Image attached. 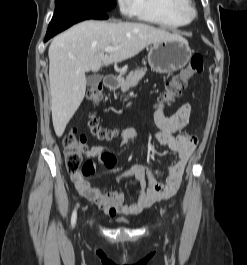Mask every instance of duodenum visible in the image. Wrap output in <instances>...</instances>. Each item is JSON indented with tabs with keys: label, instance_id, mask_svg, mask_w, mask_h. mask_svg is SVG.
Returning <instances> with one entry per match:
<instances>
[{
	"label": "duodenum",
	"instance_id": "1",
	"mask_svg": "<svg viewBox=\"0 0 247 265\" xmlns=\"http://www.w3.org/2000/svg\"><path fill=\"white\" fill-rule=\"evenodd\" d=\"M104 84L107 89H114L117 86L116 76L109 74L104 78Z\"/></svg>",
	"mask_w": 247,
	"mask_h": 265
}]
</instances>
